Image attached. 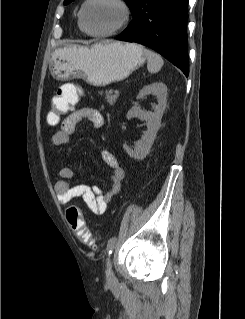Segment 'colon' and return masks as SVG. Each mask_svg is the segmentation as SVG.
Here are the masks:
<instances>
[{
  "label": "colon",
  "mask_w": 245,
  "mask_h": 319,
  "mask_svg": "<svg viewBox=\"0 0 245 319\" xmlns=\"http://www.w3.org/2000/svg\"><path fill=\"white\" fill-rule=\"evenodd\" d=\"M78 90L73 93L59 91L56 93L52 101V110L48 114V120L51 123H58L60 118L67 114L77 103ZM66 218L72 231L85 244L91 248L96 249L97 245L94 238L89 232L82 211L75 205L68 206L66 210Z\"/></svg>",
  "instance_id": "colon-1"
}]
</instances>
